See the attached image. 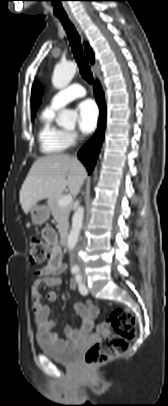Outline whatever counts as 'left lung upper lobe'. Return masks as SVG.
Instances as JSON below:
<instances>
[{
    "label": "left lung upper lobe",
    "instance_id": "obj_1",
    "mask_svg": "<svg viewBox=\"0 0 168 406\" xmlns=\"http://www.w3.org/2000/svg\"><path fill=\"white\" fill-rule=\"evenodd\" d=\"M35 95H36V89H35V86H34L33 91H32V100L34 99Z\"/></svg>",
    "mask_w": 168,
    "mask_h": 406
}]
</instances>
